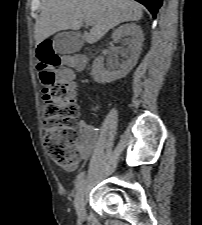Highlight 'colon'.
<instances>
[{"mask_svg": "<svg viewBox=\"0 0 202 225\" xmlns=\"http://www.w3.org/2000/svg\"><path fill=\"white\" fill-rule=\"evenodd\" d=\"M56 39L49 37L38 45L37 58L43 84L44 146L51 160L64 169H73L79 160L77 143L80 110L75 103L71 74L57 73L62 59L56 54ZM73 54H66L67 58Z\"/></svg>", "mask_w": 202, "mask_h": 225, "instance_id": "1", "label": "colon"}]
</instances>
